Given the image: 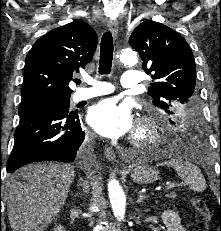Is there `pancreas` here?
I'll use <instances>...</instances> for the list:
<instances>
[{"label":"pancreas","mask_w":221,"mask_h":231,"mask_svg":"<svg viewBox=\"0 0 221 231\" xmlns=\"http://www.w3.org/2000/svg\"><path fill=\"white\" fill-rule=\"evenodd\" d=\"M168 197L174 200L177 197V194L173 192Z\"/></svg>","instance_id":"cf45deb5"}]
</instances>
